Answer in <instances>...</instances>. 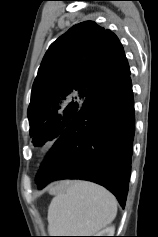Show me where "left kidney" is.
I'll return each mask as SVG.
<instances>
[{
  "label": "left kidney",
  "instance_id": "1",
  "mask_svg": "<svg viewBox=\"0 0 158 237\" xmlns=\"http://www.w3.org/2000/svg\"><path fill=\"white\" fill-rule=\"evenodd\" d=\"M114 233H115V228L114 226H111L99 232V234H96V236H114Z\"/></svg>",
  "mask_w": 158,
  "mask_h": 237
}]
</instances>
